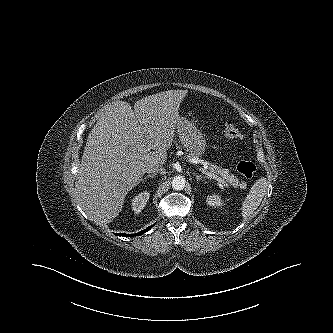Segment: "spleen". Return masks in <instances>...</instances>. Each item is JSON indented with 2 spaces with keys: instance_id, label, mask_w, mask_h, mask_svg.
I'll use <instances>...</instances> for the list:
<instances>
[{
  "instance_id": "obj_1",
  "label": "spleen",
  "mask_w": 333,
  "mask_h": 333,
  "mask_svg": "<svg viewBox=\"0 0 333 333\" xmlns=\"http://www.w3.org/2000/svg\"><path fill=\"white\" fill-rule=\"evenodd\" d=\"M268 189V181L262 177L258 179L251 187L246 198L242 202L241 214L244 220L254 217L256 209L259 207L264 195Z\"/></svg>"
}]
</instances>
